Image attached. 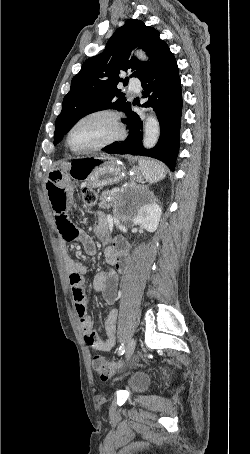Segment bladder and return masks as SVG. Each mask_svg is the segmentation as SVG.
<instances>
[{"label":"bladder","instance_id":"1","mask_svg":"<svg viewBox=\"0 0 250 454\" xmlns=\"http://www.w3.org/2000/svg\"><path fill=\"white\" fill-rule=\"evenodd\" d=\"M148 386V379L142 373L134 374L129 380V390L133 393H141Z\"/></svg>","mask_w":250,"mask_h":454}]
</instances>
